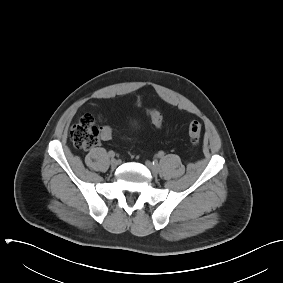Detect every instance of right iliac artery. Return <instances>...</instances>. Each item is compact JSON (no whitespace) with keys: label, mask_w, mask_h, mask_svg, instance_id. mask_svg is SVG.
Here are the masks:
<instances>
[{"label":"right iliac artery","mask_w":283,"mask_h":283,"mask_svg":"<svg viewBox=\"0 0 283 283\" xmlns=\"http://www.w3.org/2000/svg\"><path fill=\"white\" fill-rule=\"evenodd\" d=\"M109 156H110L111 158H114V157H115V152H114V151H109Z\"/></svg>","instance_id":"right-iliac-artery-1"}]
</instances>
